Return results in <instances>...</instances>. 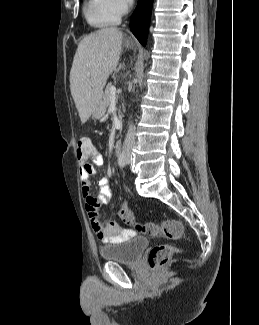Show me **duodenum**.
I'll list each match as a JSON object with an SVG mask.
<instances>
[{"instance_id":"duodenum-1","label":"duodenum","mask_w":259,"mask_h":325,"mask_svg":"<svg viewBox=\"0 0 259 325\" xmlns=\"http://www.w3.org/2000/svg\"><path fill=\"white\" fill-rule=\"evenodd\" d=\"M123 149V141L117 140L114 145V151L117 155H119L122 152Z\"/></svg>"}]
</instances>
